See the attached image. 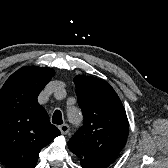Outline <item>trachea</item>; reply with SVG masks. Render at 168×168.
<instances>
[{"label":"trachea","instance_id":"trachea-1","mask_svg":"<svg viewBox=\"0 0 168 168\" xmlns=\"http://www.w3.org/2000/svg\"><path fill=\"white\" fill-rule=\"evenodd\" d=\"M52 122L54 124H57V125H60L63 123V120H62V114H61V111L60 110H56L53 114V117H52Z\"/></svg>","mask_w":168,"mask_h":168}]
</instances>
